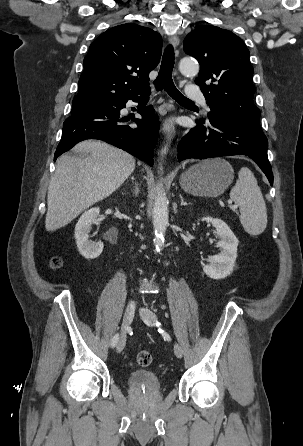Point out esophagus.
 Masks as SVG:
<instances>
[{
	"instance_id": "obj_1",
	"label": "esophagus",
	"mask_w": 303,
	"mask_h": 446,
	"mask_svg": "<svg viewBox=\"0 0 303 446\" xmlns=\"http://www.w3.org/2000/svg\"><path fill=\"white\" fill-rule=\"evenodd\" d=\"M170 43L176 49L179 45L180 39L178 35H172L169 38ZM162 131L165 135L171 136L174 133V124L171 119H166L162 125Z\"/></svg>"
}]
</instances>
